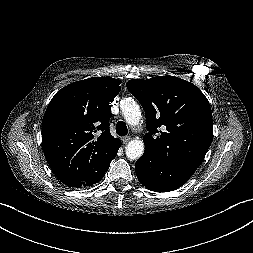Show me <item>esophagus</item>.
<instances>
[{
  "instance_id": "34e87169",
  "label": "esophagus",
  "mask_w": 253,
  "mask_h": 253,
  "mask_svg": "<svg viewBox=\"0 0 253 253\" xmlns=\"http://www.w3.org/2000/svg\"><path fill=\"white\" fill-rule=\"evenodd\" d=\"M130 140H131L130 136H125V137L122 138V141H123L124 144H128Z\"/></svg>"
}]
</instances>
